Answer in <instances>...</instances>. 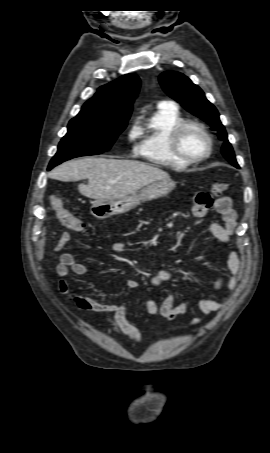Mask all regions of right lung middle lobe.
Masks as SVG:
<instances>
[{
	"label": "right lung middle lobe",
	"mask_w": 270,
	"mask_h": 453,
	"mask_svg": "<svg viewBox=\"0 0 270 453\" xmlns=\"http://www.w3.org/2000/svg\"><path fill=\"white\" fill-rule=\"evenodd\" d=\"M126 124H117L92 117H75L68 125V132L59 143L56 155L48 170L68 159L95 155L111 148Z\"/></svg>",
	"instance_id": "1"
}]
</instances>
